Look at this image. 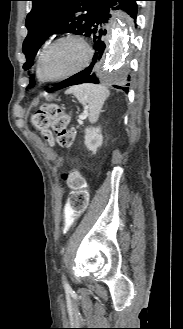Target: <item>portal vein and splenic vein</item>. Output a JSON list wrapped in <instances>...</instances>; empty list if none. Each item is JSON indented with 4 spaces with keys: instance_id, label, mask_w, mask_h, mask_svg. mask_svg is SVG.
<instances>
[{
    "instance_id": "18ae733b",
    "label": "portal vein and splenic vein",
    "mask_w": 183,
    "mask_h": 329,
    "mask_svg": "<svg viewBox=\"0 0 183 329\" xmlns=\"http://www.w3.org/2000/svg\"><path fill=\"white\" fill-rule=\"evenodd\" d=\"M86 118V114H83V115H79L78 116V120L79 121H81V120H83V119H85Z\"/></svg>"
}]
</instances>
